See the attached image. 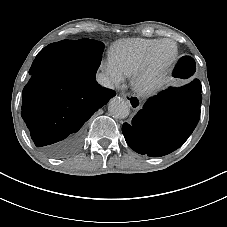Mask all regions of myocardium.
I'll use <instances>...</instances> for the list:
<instances>
[{
    "mask_svg": "<svg viewBox=\"0 0 227 227\" xmlns=\"http://www.w3.org/2000/svg\"><path fill=\"white\" fill-rule=\"evenodd\" d=\"M164 43H171L174 45V55L171 57V59L168 61V63L156 78L150 81H144V75L150 70L151 66L154 63L158 49ZM178 57L179 47L174 40L168 38L160 40L152 47L145 59L132 71L131 81L134 89L141 94H152L158 91L168 80L178 60Z\"/></svg>",
    "mask_w": 227,
    "mask_h": 227,
    "instance_id": "f54148a6",
    "label": "myocardium"
}]
</instances>
